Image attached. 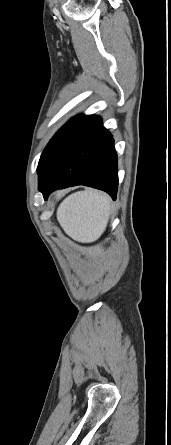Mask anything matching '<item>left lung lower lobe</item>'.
<instances>
[{
    "label": "left lung lower lobe",
    "mask_w": 171,
    "mask_h": 445,
    "mask_svg": "<svg viewBox=\"0 0 171 445\" xmlns=\"http://www.w3.org/2000/svg\"><path fill=\"white\" fill-rule=\"evenodd\" d=\"M45 199L61 188L86 185L116 199L117 155L111 134L97 116H84L59 140L38 170Z\"/></svg>",
    "instance_id": "0a47b994"
}]
</instances>
